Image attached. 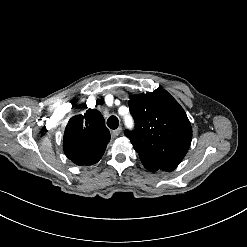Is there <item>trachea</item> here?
<instances>
[{"label": "trachea", "instance_id": "trachea-1", "mask_svg": "<svg viewBox=\"0 0 247 247\" xmlns=\"http://www.w3.org/2000/svg\"><path fill=\"white\" fill-rule=\"evenodd\" d=\"M107 125L111 128V129H116L119 125V121L117 119V117L115 116H111L108 118L107 120Z\"/></svg>", "mask_w": 247, "mask_h": 247}]
</instances>
